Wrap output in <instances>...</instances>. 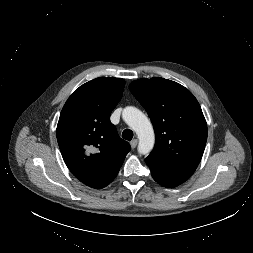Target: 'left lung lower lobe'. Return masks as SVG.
<instances>
[{
  "instance_id": "0a47b994",
  "label": "left lung lower lobe",
  "mask_w": 253,
  "mask_h": 253,
  "mask_svg": "<svg viewBox=\"0 0 253 253\" xmlns=\"http://www.w3.org/2000/svg\"><path fill=\"white\" fill-rule=\"evenodd\" d=\"M150 170L153 179L159 183L160 185L167 187V188H173L176 187L183 182H185L188 178L176 174L169 173L161 168H158L150 163H146Z\"/></svg>"
}]
</instances>
